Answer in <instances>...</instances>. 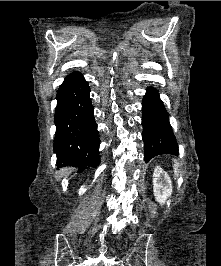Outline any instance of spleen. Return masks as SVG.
<instances>
[{
	"mask_svg": "<svg viewBox=\"0 0 221 266\" xmlns=\"http://www.w3.org/2000/svg\"><path fill=\"white\" fill-rule=\"evenodd\" d=\"M174 172L177 174V176H178V174H179V169H178V163H175L174 164Z\"/></svg>",
	"mask_w": 221,
	"mask_h": 266,
	"instance_id": "spleen-1",
	"label": "spleen"
}]
</instances>
